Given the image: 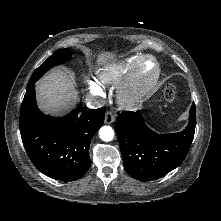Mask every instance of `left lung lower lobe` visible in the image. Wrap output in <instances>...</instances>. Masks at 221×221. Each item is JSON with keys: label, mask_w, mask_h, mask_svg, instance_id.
I'll list each match as a JSON object with an SVG mask.
<instances>
[{"label": "left lung lower lobe", "mask_w": 221, "mask_h": 221, "mask_svg": "<svg viewBox=\"0 0 221 221\" xmlns=\"http://www.w3.org/2000/svg\"><path fill=\"white\" fill-rule=\"evenodd\" d=\"M116 120L115 131L126 172L137 180L151 181L184 161L195 133L196 108L193 102L188 125L174 134H158L149 129L140 111H125Z\"/></svg>", "instance_id": "obj_1"}]
</instances>
